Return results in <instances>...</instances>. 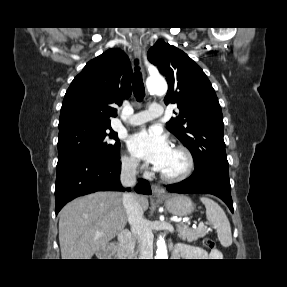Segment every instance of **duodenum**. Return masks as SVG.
Here are the masks:
<instances>
[{
    "instance_id": "obj_1",
    "label": "duodenum",
    "mask_w": 287,
    "mask_h": 287,
    "mask_svg": "<svg viewBox=\"0 0 287 287\" xmlns=\"http://www.w3.org/2000/svg\"><path fill=\"white\" fill-rule=\"evenodd\" d=\"M116 255L125 259L133 258L131 251V233L128 230H123L118 236Z\"/></svg>"
}]
</instances>
